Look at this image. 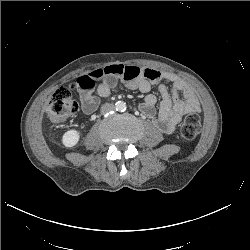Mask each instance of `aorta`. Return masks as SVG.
Here are the masks:
<instances>
[{"label":"aorta","instance_id":"obj_1","mask_svg":"<svg viewBox=\"0 0 250 250\" xmlns=\"http://www.w3.org/2000/svg\"><path fill=\"white\" fill-rule=\"evenodd\" d=\"M115 109H116L117 111H120V112L125 111V110H126V103L123 102V101H118V102H116V104H115Z\"/></svg>","mask_w":250,"mask_h":250}]
</instances>
